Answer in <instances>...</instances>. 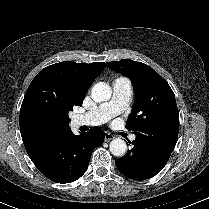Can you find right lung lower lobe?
<instances>
[{"mask_svg":"<svg viewBox=\"0 0 209 209\" xmlns=\"http://www.w3.org/2000/svg\"><path fill=\"white\" fill-rule=\"evenodd\" d=\"M103 133L99 127L82 135H74L70 129L31 160L48 179L71 183L87 170L93 149L103 143Z\"/></svg>","mask_w":209,"mask_h":209,"instance_id":"obj_1","label":"right lung lower lobe"}]
</instances>
